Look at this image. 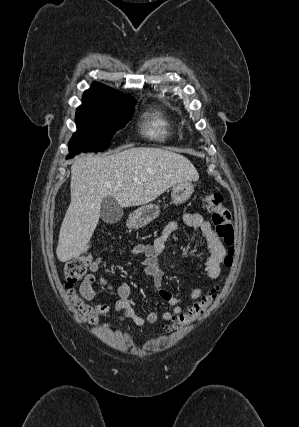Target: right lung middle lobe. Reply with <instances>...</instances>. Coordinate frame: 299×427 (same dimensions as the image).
I'll return each instance as SVG.
<instances>
[{"label": "right lung middle lobe", "mask_w": 299, "mask_h": 427, "mask_svg": "<svg viewBox=\"0 0 299 427\" xmlns=\"http://www.w3.org/2000/svg\"><path fill=\"white\" fill-rule=\"evenodd\" d=\"M135 100L83 103L76 111L77 130L69 141V154L102 151L113 135L130 121Z\"/></svg>", "instance_id": "obj_1"}]
</instances>
